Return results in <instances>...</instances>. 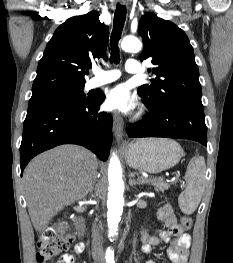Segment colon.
Listing matches in <instances>:
<instances>
[{
  "mask_svg": "<svg viewBox=\"0 0 233 263\" xmlns=\"http://www.w3.org/2000/svg\"><path fill=\"white\" fill-rule=\"evenodd\" d=\"M180 226L189 230L192 226V219L188 215L180 217ZM74 238L64 231L52 229L45 231L38 240L37 263H49L55 257L64 255L72 246Z\"/></svg>",
  "mask_w": 233,
  "mask_h": 263,
  "instance_id": "colon-1",
  "label": "colon"
}]
</instances>
